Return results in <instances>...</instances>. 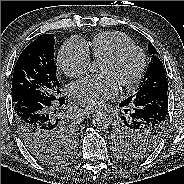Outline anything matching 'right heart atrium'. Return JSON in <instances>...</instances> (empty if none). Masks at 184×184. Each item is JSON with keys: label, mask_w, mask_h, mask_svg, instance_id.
Returning a JSON list of instances; mask_svg holds the SVG:
<instances>
[{"label": "right heart atrium", "mask_w": 184, "mask_h": 184, "mask_svg": "<svg viewBox=\"0 0 184 184\" xmlns=\"http://www.w3.org/2000/svg\"><path fill=\"white\" fill-rule=\"evenodd\" d=\"M57 63L69 77L83 74L90 64V53L86 43L78 37L68 39L59 50Z\"/></svg>", "instance_id": "right-heart-atrium-1"}]
</instances>
